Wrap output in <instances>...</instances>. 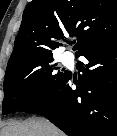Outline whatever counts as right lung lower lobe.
<instances>
[{
  "mask_svg": "<svg viewBox=\"0 0 117 136\" xmlns=\"http://www.w3.org/2000/svg\"><path fill=\"white\" fill-rule=\"evenodd\" d=\"M76 89L67 76L20 111L48 118L68 136H117V30L83 49Z\"/></svg>",
  "mask_w": 117,
  "mask_h": 136,
  "instance_id": "right-lung-lower-lobe-1",
  "label": "right lung lower lobe"
}]
</instances>
